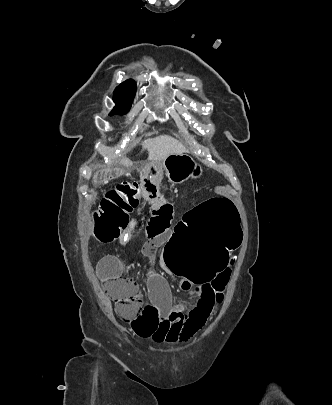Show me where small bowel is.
<instances>
[{
    "label": "small bowel",
    "mask_w": 332,
    "mask_h": 405,
    "mask_svg": "<svg viewBox=\"0 0 332 405\" xmlns=\"http://www.w3.org/2000/svg\"><path fill=\"white\" fill-rule=\"evenodd\" d=\"M120 168H103L102 172H91V181L96 186H111V177L123 175ZM164 176L162 165L158 159H151L144 165L139 176L140 202L151 204V217L146 226V241L143 253L153 258L157 250L171 240V222L174 216V206L163 195L161 185ZM187 220V219H184ZM131 240V232L125 230L119 241L127 244ZM231 259V257H228ZM123 263L119 256L109 254L102 257L97 266L98 276L106 281L119 276L123 271ZM214 276V275H213ZM211 281H206L204 287L192 289L191 281L178 282L183 292L192 290V294L183 304L174 305L170 285L165 277L150 269L147 278L148 297L150 301L143 302V311H138L137 317L131 321L134 333L155 343L184 342L193 337L209 318L212 303Z\"/></svg>",
    "instance_id": "small-bowel-1"
}]
</instances>
